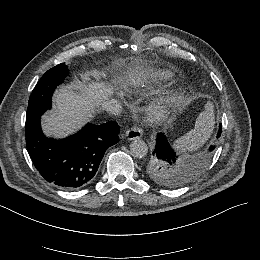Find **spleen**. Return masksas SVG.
I'll list each match as a JSON object with an SVG mask.
<instances>
[{
  "label": "spleen",
  "instance_id": "obj_1",
  "mask_svg": "<svg viewBox=\"0 0 260 260\" xmlns=\"http://www.w3.org/2000/svg\"><path fill=\"white\" fill-rule=\"evenodd\" d=\"M204 109L196 118L194 129L174 142L173 148L177 152L196 151L211 137L215 126L214 104L207 101Z\"/></svg>",
  "mask_w": 260,
  "mask_h": 260
}]
</instances>
